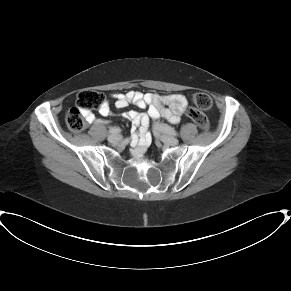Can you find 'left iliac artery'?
Returning <instances> with one entry per match:
<instances>
[{"instance_id": "1", "label": "left iliac artery", "mask_w": 291, "mask_h": 291, "mask_svg": "<svg viewBox=\"0 0 291 291\" xmlns=\"http://www.w3.org/2000/svg\"><path fill=\"white\" fill-rule=\"evenodd\" d=\"M163 128H164V130H165L167 133H169V134H171V135H174V136H177V135H178L177 131H176L174 128H172L171 126L164 125Z\"/></svg>"}]
</instances>
